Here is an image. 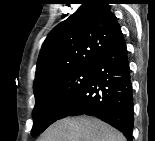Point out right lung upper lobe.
I'll list each match as a JSON object with an SVG mask.
<instances>
[{
  "instance_id": "1",
  "label": "right lung upper lobe",
  "mask_w": 155,
  "mask_h": 141,
  "mask_svg": "<svg viewBox=\"0 0 155 141\" xmlns=\"http://www.w3.org/2000/svg\"><path fill=\"white\" fill-rule=\"evenodd\" d=\"M121 35L107 1L87 0L48 34L39 54L34 87L61 72L94 68Z\"/></svg>"
}]
</instances>
